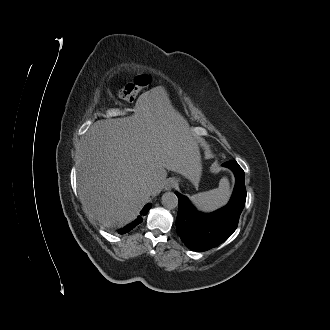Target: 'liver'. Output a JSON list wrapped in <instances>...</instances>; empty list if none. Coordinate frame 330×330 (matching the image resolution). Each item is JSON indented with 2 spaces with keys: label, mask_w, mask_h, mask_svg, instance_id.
Wrapping results in <instances>:
<instances>
[{
  "label": "liver",
  "mask_w": 330,
  "mask_h": 330,
  "mask_svg": "<svg viewBox=\"0 0 330 330\" xmlns=\"http://www.w3.org/2000/svg\"><path fill=\"white\" fill-rule=\"evenodd\" d=\"M196 138L184 117L162 97L143 93L129 117L96 121L89 129L78 169L86 214L106 228L133 221L163 187L167 170L189 176ZM153 180V193L147 182Z\"/></svg>",
  "instance_id": "1"
}]
</instances>
